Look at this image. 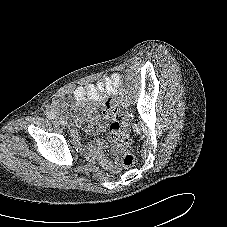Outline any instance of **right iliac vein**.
<instances>
[{"mask_svg":"<svg viewBox=\"0 0 227 227\" xmlns=\"http://www.w3.org/2000/svg\"><path fill=\"white\" fill-rule=\"evenodd\" d=\"M55 121H56L58 124H60L61 126H64V127L67 125L66 120H65L64 118H62V117H56V118H55Z\"/></svg>","mask_w":227,"mask_h":227,"instance_id":"63e3f726","label":"right iliac vein"}]
</instances>
